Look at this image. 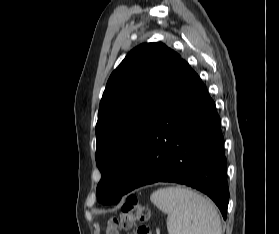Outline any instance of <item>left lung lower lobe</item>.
Wrapping results in <instances>:
<instances>
[{"instance_id":"left-lung-lower-lobe-1","label":"left lung lower lobe","mask_w":279,"mask_h":234,"mask_svg":"<svg viewBox=\"0 0 279 234\" xmlns=\"http://www.w3.org/2000/svg\"><path fill=\"white\" fill-rule=\"evenodd\" d=\"M226 166L215 103L182 59L153 115L123 195L158 181L185 184L208 195L226 219Z\"/></svg>"}]
</instances>
